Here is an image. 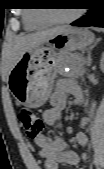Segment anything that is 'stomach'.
I'll return each instance as SVG.
<instances>
[{"instance_id":"1","label":"stomach","mask_w":104,"mask_h":169,"mask_svg":"<svg viewBox=\"0 0 104 169\" xmlns=\"http://www.w3.org/2000/svg\"><path fill=\"white\" fill-rule=\"evenodd\" d=\"M94 38L86 29L69 27L25 52L8 78L17 103L28 108L42 106L51 94L60 62L69 52L90 45Z\"/></svg>"}]
</instances>
